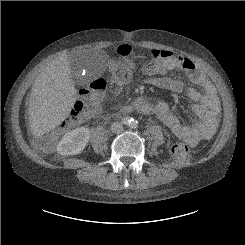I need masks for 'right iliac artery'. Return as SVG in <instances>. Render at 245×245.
Returning a JSON list of instances; mask_svg holds the SVG:
<instances>
[{
  "mask_svg": "<svg viewBox=\"0 0 245 245\" xmlns=\"http://www.w3.org/2000/svg\"><path fill=\"white\" fill-rule=\"evenodd\" d=\"M122 122H123L124 124H127V123H130L131 120H130L128 117H124V118L122 119Z\"/></svg>",
  "mask_w": 245,
  "mask_h": 245,
  "instance_id": "right-iliac-artery-1",
  "label": "right iliac artery"
}]
</instances>
